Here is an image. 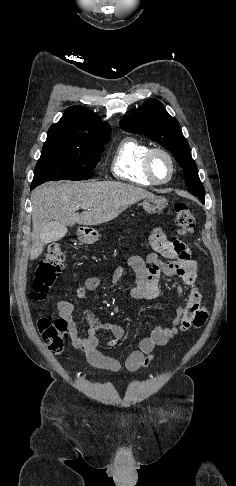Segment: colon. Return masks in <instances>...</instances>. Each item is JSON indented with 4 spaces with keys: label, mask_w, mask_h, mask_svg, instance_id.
Segmentation results:
<instances>
[{
    "label": "colon",
    "mask_w": 236,
    "mask_h": 486,
    "mask_svg": "<svg viewBox=\"0 0 236 486\" xmlns=\"http://www.w3.org/2000/svg\"><path fill=\"white\" fill-rule=\"evenodd\" d=\"M175 222L180 236L189 235L195 226V218L189 206L179 201L174 205ZM65 254L59 244H51L39 263L32 285L31 298L39 301L45 298L55 284L57 276L64 268ZM83 291L81 290L80 293ZM38 329L48 348L59 354L63 351L67 338V325L61 318H41Z\"/></svg>",
    "instance_id": "1"
}]
</instances>
